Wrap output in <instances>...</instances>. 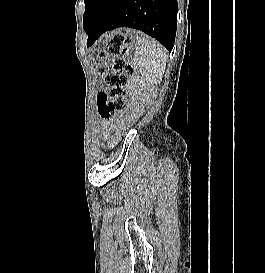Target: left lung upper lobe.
<instances>
[{"label": "left lung upper lobe", "mask_w": 265, "mask_h": 273, "mask_svg": "<svg viewBox=\"0 0 265 273\" xmlns=\"http://www.w3.org/2000/svg\"><path fill=\"white\" fill-rule=\"evenodd\" d=\"M87 1H88V0H84V2H85V6H86L84 16H86V14H87V10H88V2H87ZM84 16H83V20H84Z\"/></svg>", "instance_id": "5c2ea615"}]
</instances>
